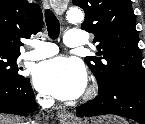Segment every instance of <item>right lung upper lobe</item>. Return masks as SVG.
<instances>
[{
    "mask_svg": "<svg viewBox=\"0 0 145 124\" xmlns=\"http://www.w3.org/2000/svg\"><path fill=\"white\" fill-rule=\"evenodd\" d=\"M42 11L27 0H0V51L20 55L21 38L42 29Z\"/></svg>",
    "mask_w": 145,
    "mask_h": 124,
    "instance_id": "1",
    "label": "right lung upper lobe"
}]
</instances>
